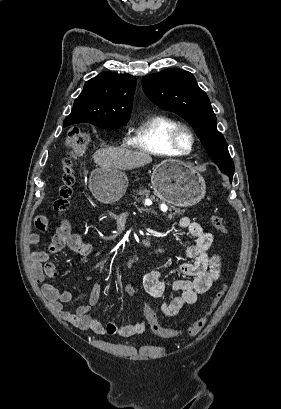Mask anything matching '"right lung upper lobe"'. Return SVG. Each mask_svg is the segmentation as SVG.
Masks as SVG:
<instances>
[{
	"label": "right lung upper lobe",
	"mask_w": 281,
	"mask_h": 409,
	"mask_svg": "<svg viewBox=\"0 0 281 409\" xmlns=\"http://www.w3.org/2000/svg\"><path fill=\"white\" fill-rule=\"evenodd\" d=\"M136 78L128 74L104 72L89 80L74 102L63 126L76 123H127L135 91Z\"/></svg>",
	"instance_id": "cb5924a9"
}]
</instances>
